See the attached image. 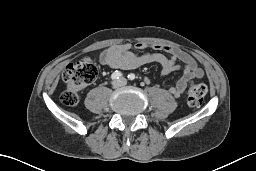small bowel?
Returning <instances> with one entry per match:
<instances>
[{
	"label": "small bowel",
	"mask_w": 256,
	"mask_h": 171,
	"mask_svg": "<svg viewBox=\"0 0 256 171\" xmlns=\"http://www.w3.org/2000/svg\"><path fill=\"white\" fill-rule=\"evenodd\" d=\"M147 47L152 48L154 52H141ZM100 62L110 68L122 70H133L146 64L157 63L162 67L161 77L183 68V74L176 80L175 85L168 89L174 97L184 93L189 80L204 77L203 69L188 53L170 45H149L141 42L134 46L129 43L113 45L101 54Z\"/></svg>",
	"instance_id": "c3829d8e"
}]
</instances>
